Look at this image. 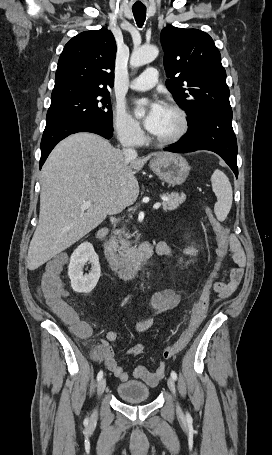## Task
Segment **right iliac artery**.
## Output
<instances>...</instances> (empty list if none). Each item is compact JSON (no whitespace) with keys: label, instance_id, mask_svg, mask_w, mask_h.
<instances>
[{"label":"right iliac artery","instance_id":"82829eb1","mask_svg":"<svg viewBox=\"0 0 272 455\" xmlns=\"http://www.w3.org/2000/svg\"><path fill=\"white\" fill-rule=\"evenodd\" d=\"M127 301V298L124 300L122 305ZM103 377V371L100 370L99 373L97 374V380L99 381Z\"/></svg>","mask_w":272,"mask_h":455}]
</instances>
